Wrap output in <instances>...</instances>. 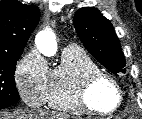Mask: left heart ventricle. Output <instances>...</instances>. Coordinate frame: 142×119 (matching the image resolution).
<instances>
[{
  "mask_svg": "<svg viewBox=\"0 0 142 119\" xmlns=\"http://www.w3.org/2000/svg\"><path fill=\"white\" fill-rule=\"evenodd\" d=\"M90 100L100 110L111 109L117 102V93L107 82L98 83L91 91Z\"/></svg>",
  "mask_w": 142,
  "mask_h": 119,
  "instance_id": "obj_1",
  "label": "left heart ventricle"
}]
</instances>
